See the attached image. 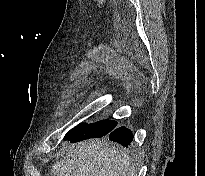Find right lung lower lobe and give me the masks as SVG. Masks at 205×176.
I'll list each match as a JSON object with an SVG mask.
<instances>
[{"label": "right lung lower lobe", "mask_w": 205, "mask_h": 176, "mask_svg": "<svg viewBox=\"0 0 205 176\" xmlns=\"http://www.w3.org/2000/svg\"><path fill=\"white\" fill-rule=\"evenodd\" d=\"M108 135L110 140L117 142L125 147H128L133 140L132 132L125 127L113 129L111 132L108 133ZM69 141L74 143L78 142V139L71 138L69 139Z\"/></svg>", "instance_id": "obj_1"}]
</instances>
